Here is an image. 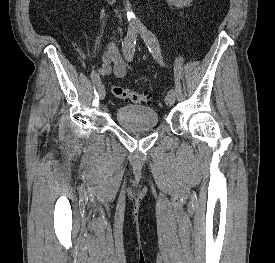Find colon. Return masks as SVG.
<instances>
[{
	"instance_id": "1",
	"label": "colon",
	"mask_w": 275,
	"mask_h": 263,
	"mask_svg": "<svg viewBox=\"0 0 275 263\" xmlns=\"http://www.w3.org/2000/svg\"><path fill=\"white\" fill-rule=\"evenodd\" d=\"M113 93L119 99L138 104H150L154 101V96L151 93L140 92L120 85L114 86Z\"/></svg>"
}]
</instances>
